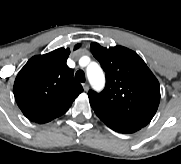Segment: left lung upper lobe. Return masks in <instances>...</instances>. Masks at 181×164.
<instances>
[{
  "mask_svg": "<svg viewBox=\"0 0 181 164\" xmlns=\"http://www.w3.org/2000/svg\"><path fill=\"white\" fill-rule=\"evenodd\" d=\"M90 49L106 72L104 90L88 92L95 113L146 126L160 101L159 82L151 70L137 53L128 48L115 46L107 49L92 43Z\"/></svg>",
  "mask_w": 181,
  "mask_h": 164,
  "instance_id": "1",
  "label": "left lung upper lobe"
}]
</instances>
